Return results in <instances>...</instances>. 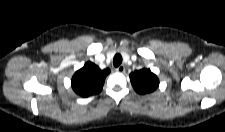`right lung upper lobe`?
<instances>
[{
  "label": "right lung upper lobe",
  "instance_id": "obj_1",
  "mask_svg": "<svg viewBox=\"0 0 225 132\" xmlns=\"http://www.w3.org/2000/svg\"><path fill=\"white\" fill-rule=\"evenodd\" d=\"M109 69L101 70L92 62H87L75 72L71 80L73 90L82 97H88L101 92Z\"/></svg>",
  "mask_w": 225,
  "mask_h": 132
}]
</instances>
